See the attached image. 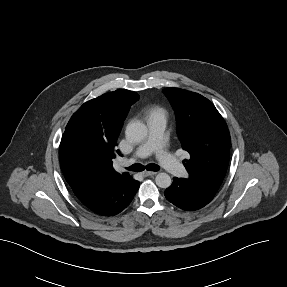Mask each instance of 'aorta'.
I'll list each match as a JSON object with an SVG mask.
<instances>
[{
	"mask_svg": "<svg viewBox=\"0 0 287 287\" xmlns=\"http://www.w3.org/2000/svg\"><path fill=\"white\" fill-rule=\"evenodd\" d=\"M148 133V129L142 122H131L126 127V137L133 142L142 141ZM155 182L160 188H168L171 186L172 180L167 173H158L155 177Z\"/></svg>",
	"mask_w": 287,
	"mask_h": 287,
	"instance_id": "1",
	"label": "aorta"
}]
</instances>
